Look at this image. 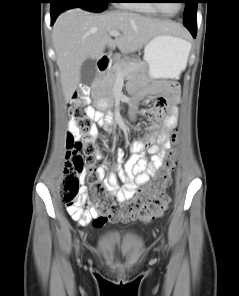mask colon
Masks as SVG:
<instances>
[{"mask_svg":"<svg viewBox=\"0 0 239 296\" xmlns=\"http://www.w3.org/2000/svg\"><path fill=\"white\" fill-rule=\"evenodd\" d=\"M90 108L77 100L70 107V118L76 126L78 135L68 134L67 152L61 180V196L68 211L78 221L91 219V205H95L98 222L114 220L124 215L139 218L144 222L160 217L168 209L170 197L165 192L169 173L177 161V151L170 150L165 158L164 167L156 179L140 190L128 202L121 203L108 193L97 166L98 152L93 141V123ZM178 135L172 134V142ZM85 181L87 188L81 187ZM89 194H88V191Z\"/></svg>","mask_w":239,"mask_h":296,"instance_id":"5ec220e1","label":"colon"}]
</instances>
